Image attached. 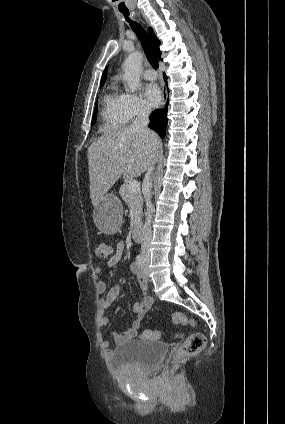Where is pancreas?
Masks as SVG:
<instances>
[{
  "label": "pancreas",
  "instance_id": "pancreas-1",
  "mask_svg": "<svg viewBox=\"0 0 285 424\" xmlns=\"http://www.w3.org/2000/svg\"><path fill=\"white\" fill-rule=\"evenodd\" d=\"M119 194L122 197L123 201L130 207L133 208L134 211V221L137 223L142 214V205L143 198L141 191L131 193L128 189V182H125L119 190Z\"/></svg>",
  "mask_w": 285,
  "mask_h": 424
}]
</instances>
